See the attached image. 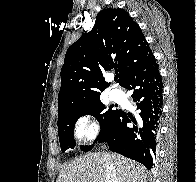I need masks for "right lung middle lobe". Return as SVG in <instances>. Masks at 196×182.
<instances>
[{
	"label": "right lung middle lobe",
	"instance_id": "right-lung-middle-lobe-1",
	"mask_svg": "<svg viewBox=\"0 0 196 182\" xmlns=\"http://www.w3.org/2000/svg\"><path fill=\"white\" fill-rule=\"evenodd\" d=\"M117 112L118 110H113L112 107L107 110L100 98L96 97L84 104L69 108L58 115V135L62 152L75 146L73 130L78 118L83 115H92L97 118L101 127L98 139L111 124ZM80 148L83 151H88L92 146H80Z\"/></svg>",
	"mask_w": 196,
	"mask_h": 182
}]
</instances>
